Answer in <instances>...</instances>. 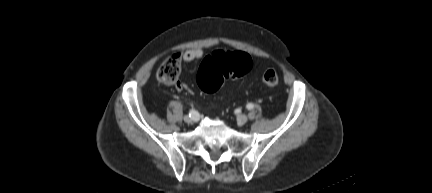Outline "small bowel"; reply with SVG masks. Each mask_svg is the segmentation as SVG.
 Instances as JSON below:
<instances>
[{"mask_svg":"<svg viewBox=\"0 0 432 193\" xmlns=\"http://www.w3.org/2000/svg\"><path fill=\"white\" fill-rule=\"evenodd\" d=\"M203 50L200 48H196V49H189L186 50L183 54H182V59L184 62H193L196 60H199L200 58L203 57ZM177 88L181 89L182 88V84L181 83H177Z\"/></svg>","mask_w":432,"mask_h":193,"instance_id":"1","label":"small bowel"}]
</instances>
